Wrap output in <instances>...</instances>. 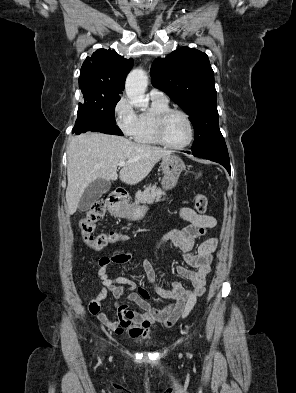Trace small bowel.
I'll return each instance as SVG.
<instances>
[{
  "mask_svg": "<svg viewBox=\"0 0 296 393\" xmlns=\"http://www.w3.org/2000/svg\"><path fill=\"white\" fill-rule=\"evenodd\" d=\"M179 217L189 223L181 230H169L158 240L156 248L165 244L172 245L182 252L186 266L178 265L177 273L191 282L186 287L179 281H174L170 287H161L155 284V269L151 259H144L143 266L148 280L161 297L171 300L168 306L157 309L151 305V295L144 286H137L135 282L125 276L111 278L109 267L111 264L126 265L137 256L136 253L124 251L109 256H103L98 261V277L102 287L98 294L88 303L89 312L115 334H127L134 340H143L150 336L153 328L161 325L170 328L184 319L193 309L199 297L204 295L206 276L211 271L213 253L217 248L218 240L209 238L198 246L193 253L195 239L203 236L216 226L213 216L197 213L189 207H180ZM192 269H190V268ZM111 295L115 300L116 319L110 318L101 309L102 302ZM124 298L125 302H118ZM135 304L140 312L130 309L129 304Z\"/></svg>",
  "mask_w": 296,
  "mask_h": 393,
  "instance_id": "small-bowel-1",
  "label": "small bowel"
}]
</instances>
